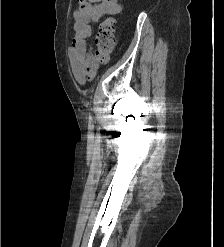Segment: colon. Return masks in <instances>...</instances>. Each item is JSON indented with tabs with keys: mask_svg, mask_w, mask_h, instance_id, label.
Masks as SVG:
<instances>
[{
	"mask_svg": "<svg viewBox=\"0 0 224 247\" xmlns=\"http://www.w3.org/2000/svg\"><path fill=\"white\" fill-rule=\"evenodd\" d=\"M115 46V27L114 20L107 18L99 27L96 36L95 58L99 62H106Z\"/></svg>",
	"mask_w": 224,
	"mask_h": 247,
	"instance_id": "obj_1",
	"label": "colon"
}]
</instances>
